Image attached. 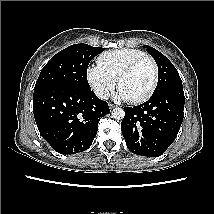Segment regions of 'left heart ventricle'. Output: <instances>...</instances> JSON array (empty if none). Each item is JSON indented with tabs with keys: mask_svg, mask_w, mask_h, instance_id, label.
Masks as SVG:
<instances>
[{
	"mask_svg": "<svg viewBox=\"0 0 214 214\" xmlns=\"http://www.w3.org/2000/svg\"><path fill=\"white\" fill-rule=\"evenodd\" d=\"M152 79V68L149 63L145 62L122 79L120 89L123 90L130 99H136L148 90Z\"/></svg>",
	"mask_w": 214,
	"mask_h": 214,
	"instance_id": "1",
	"label": "left heart ventricle"
}]
</instances>
